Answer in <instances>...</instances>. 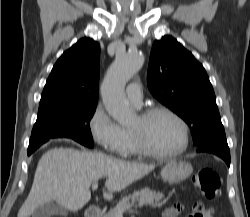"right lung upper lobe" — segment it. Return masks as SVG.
I'll return each mask as SVG.
<instances>
[{"label":"right lung upper lobe","instance_id":"obj_1","mask_svg":"<svg viewBox=\"0 0 250 217\" xmlns=\"http://www.w3.org/2000/svg\"><path fill=\"white\" fill-rule=\"evenodd\" d=\"M100 45L82 38L54 65L42 92L39 113L97 104Z\"/></svg>","mask_w":250,"mask_h":217}]
</instances>
